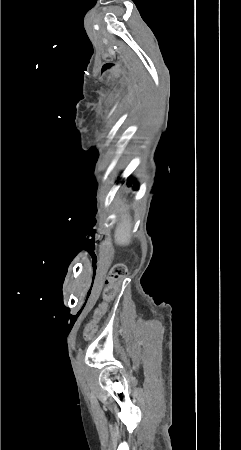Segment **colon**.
Listing matches in <instances>:
<instances>
[{"label": "colon", "instance_id": "obj_1", "mask_svg": "<svg viewBox=\"0 0 241 450\" xmlns=\"http://www.w3.org/2000/svg\"><path fill=\"white\" fill-rule=\"evenodd\" d=\"M126 274L127 267L123 263L115 264L108 272L106 276L104 295L99 300L100 305L96 307V313L85 328L84 339L86 341H89L93 337L96 331L97 318L105 312L106 306H110L112 296L117 291L118 283L126 276Z\"/></svg>", "mask_w": 241, "mask_h": 450}]
</instances>
